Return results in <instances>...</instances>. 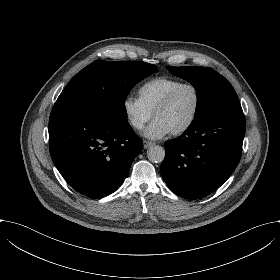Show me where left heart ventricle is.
Instances as JSON below:
<instances>
[{"label":"left heart ventricle","mask_w":280,"mask_h":280,"mask_svg":"<svg viewBox=\"0 0 280 280\" xmlns=\"http://www.w3.org/2000/svg\"><path fill=\"white\" fill-rule=\"evenodd\" d=\"M196 102L197 97L194 88L186 86L177 93L172 103L155 117L162 119L172 130H175L191 119L196 108Z\"/></svg>","instance_id":"b2bd125f"}]
</instances>
